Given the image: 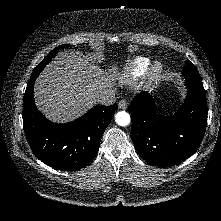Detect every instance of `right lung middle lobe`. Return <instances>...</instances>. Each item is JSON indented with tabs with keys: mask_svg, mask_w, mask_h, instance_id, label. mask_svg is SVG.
<instances>
[{
	"mask_svg": "<svg viewBox=\"0 0 221 221\" xmlns=\"http://www.w3.org/2000/svg\"><path fill=\"white\" fill-rule=\"evenodd\" d=\"M67 45H62L59 46L57 48H55L54 50H52L46 57L45 59L40 62L36 68L33 70V73L30 77V79H36L39 75V73L43 70V68L51 61V59L57 54L58 50L65 48Z\"/></svg>",
	"mask_w": 221,
	"mask_h": 221,
	"instance_id": "obj_1",
	"label": "right lung middle lobe"
}]
</instances>
